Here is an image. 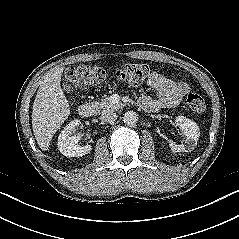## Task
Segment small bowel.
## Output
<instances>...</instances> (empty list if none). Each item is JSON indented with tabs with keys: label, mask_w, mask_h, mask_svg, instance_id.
<instances>
[{
	"label": "small bowel",
	"mask_w": 239,
	"mask_h": 239,
	"mask_svg": "<svg viewBox=\"0 0 239 239\" xmlns=\"http://www.w3.org/2000/svg\"><path fill=\"white\" fill-rule=\"evenodd\" d=\"M148 85L156 91L157 98L143 96L140 99V105L146 111H158L164 107L176 106L188 92L187 84L173 81L156 71L150 74Z\"/></svg>",
	"instance_id": "obj_1"
}]
</instances>
